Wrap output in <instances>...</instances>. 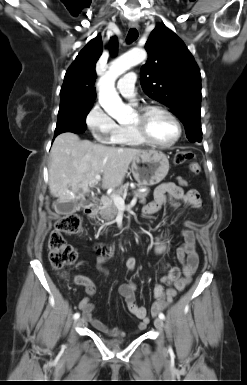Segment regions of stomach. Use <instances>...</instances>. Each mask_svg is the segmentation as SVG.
<instances>
[{
    "label": "stomach",
    "instance_id": "stomach-1",
    "mask_svg": "<svg viewBox=\"0 0 247 385\" xmlns=\"http://www.w3.org/2000/svg\"><path fill=\"white\" fill-rule=\"evenodd\" d=\"M169 171L167 156L157 150H147L136 155L131 164L133 177L140 186L160 183Z\"/></svg>",
    "mask_w": 247,
    "mask_h": 385
}]
</instances>
